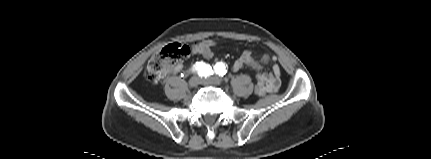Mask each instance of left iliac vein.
<instances>
[{
  "label": "left iliac vein",
  "instance_id": "1",
  "mask_svg": "<svg viewBox=\"0 0 431 159\" xmlns=\"http://www.w3.org/2000/svg\"><path fill=\"white\" fill-rule=\"evenodd\" d=\"M200 83L203 85H220L221 79L216 76L208 77V78L201 79Z\"/></svg>",
  "mask_w": 431,
  "mask_h": 159
}]
</instances>
